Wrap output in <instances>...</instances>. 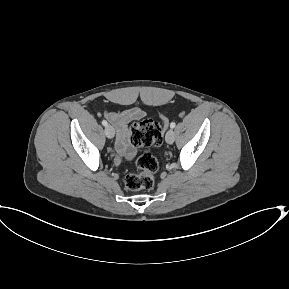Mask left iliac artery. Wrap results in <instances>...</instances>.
I'll return each mask as SVG.
<instances>
[{
  "label": "left iliac artery",
  "mask_w": 289,
  "mask_h": 289,
  "mask_svg": "<svg viewBox=\"0 0 289 289\" xmlns=\"http://www.w3.org/2000/svg\"><path fill=\"white\" fill-rule=\"evenodd\" d=\"M175 126H176L175 122H172V123L170 124V127H171V128H174Z\"/></svg>",
  "instance_id": "44dca946"
}]
</instances>
